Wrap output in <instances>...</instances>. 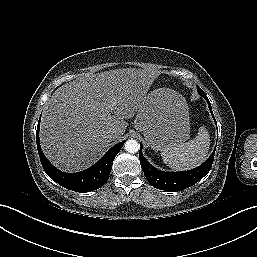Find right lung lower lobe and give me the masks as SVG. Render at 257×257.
Wrapping results in <instances>:
<instances>
[{"instance_id": "98d812e1", "label": "right lung lower lobe", "mask_w": 257, "mask_h": 257, "mask_svg": "<svg viewBox=\"0 0 257 257\" xmlns=\"http://www.w3.org/2000/svg\"><path fill=\"white\" fill-rule=\"evenodd\" d=\"M41 118V117H40ZM40 119L36 131V142L40 161L47 175L61 186L76 192H89L102 187L109 178L113 160L124 142L114 145L96 164L78 173H65L55 168L44 156L39 142Z\"/></svg>"}]
</instances>
